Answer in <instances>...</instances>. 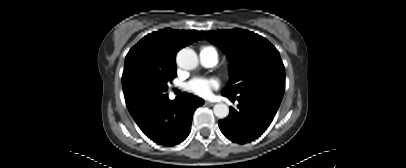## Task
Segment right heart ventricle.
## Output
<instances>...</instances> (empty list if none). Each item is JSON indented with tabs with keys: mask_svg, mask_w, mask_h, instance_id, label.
<instances>
[{
	"mask_svg": "<svg viewBox=\"0 0 406 168\" xmlns=\"http://www.w3.org/2000/svg\"><path fill=\"white\" fill-rule=\"evenodd\" d=\"M206 50H215L213 47H211V46H203L202 48H201V51H206ZM216 51V50H215Z\"/></svg>",
	"mask_w": 406,
	"mask_h": 168,
	"instance_id": "obj_1",
	"label": "right heart ventricle"
}]
</instances>
